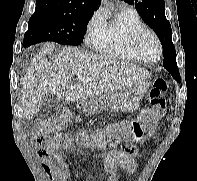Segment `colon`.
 Masks as SVG:
<instances>
[{
	"instance_id": "colon-1",
	"label": "colon",
	"mask_w": 197,
	"mask_h": 181,
	"mask_svg": "<svg viewBox=\"0 0 197 181\" xmlns=\"http://www.w3.org/2000/svg\"><path fill=\"white\" fill-rule=\"evenodd\" d=\"M168 85L164 79H156L149 90L150 108L142 111L139 117L130 122H125L119 126L112 127L106 134L98 132L92 137L81 135L76 140L82 146H89L97 149H104L108 145L115 144L120 139V135L129 134L135 141H141L147 134L151 133L158 120L166 113L167 102L165 94ZM70 120V113L63 112L55 118L45 123L41 130L35 133L34 138L42 140L44 137L49 139V145L58 148L63 145L65 148L71 147L74 138L71 136L61 137L56 131L65 126ZM128 145H124L123 149H128Z\"/></svg>"
}]
</instances>
